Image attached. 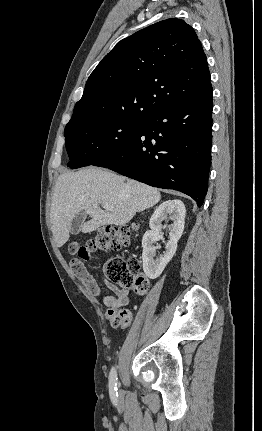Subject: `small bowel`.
I'll use <instances>...</instances> for the list:
<instances>
[{"instance_id":"1","label":"small bowel","mask_w":262,"mask_h":431,"mask_svg":"<svg viewBox=\"0 0 262 431\" xmlns=\"http://www.w3.org/2000/svg\"><path fill=\"white\" fill-rule=\"evenodd\" d=\"M77 260H72L71 265L72 267L76 263ZM82 270L80 272H75L77 278L81 281L83 286L86 288L87 291L92 293L93 295L99 296L101 294L102 288L97 282V280L89 274L86 267L81 263ZM110 289L113 291L114 295H108L103 298V304L107 308L106 315L109 318L111 315H113L116 312H119L121 310H126L130 316L131 313L128 309H122L123 307L127 306L129 299H128V290L127 289H118L115 286H110Z\"/></svg>"}]
</instances>
